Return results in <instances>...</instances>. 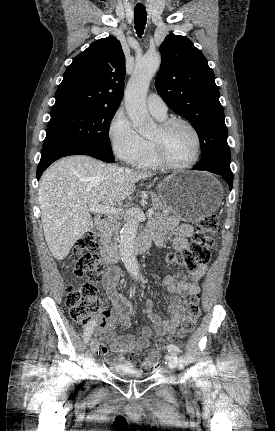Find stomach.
<instances>
[{
    "label": "stomach",
    "mask_w": 275,
    "mask_h": 431,
    "mask_svg": "<svg viewBox=\"0 0 275 431\" xmlns=\"http://www.w3.org/2000/svg\"><path fill=\"white\" fill-rule=\"evenodd\" d=\"M160 198L181 220L196 222L217 210L223 190L209 173L175 172L159 184Z\"/></svg>",
    "instance_id": "1"
}]
</instances>
